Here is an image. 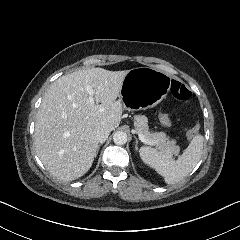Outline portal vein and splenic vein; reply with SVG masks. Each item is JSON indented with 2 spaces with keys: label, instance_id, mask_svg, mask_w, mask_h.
I'll return each mask as SVG.
<instances>
[{
  "label": "portal vein and splenic vein",
  "instance_id": "portal-vein-and-splenic-vein-1",
  "mask_svg": "<svg viewBox=\"0 0 240 240\" xmlns=\"http://www.w3.org/2000/svg\"><path fill=\"white\" fill-rule=\"evenodd\" d=\"M85 90H86V91L88 92V94H89V100H90V102H94V98H93V96H94V90H93L92 86H90V85L86 86ZM132 131L135 133V130H132ZM138 137H139V140H140L141 142H143L144 144L150 145V141L145 138V135H144V134L138 133Z\"/></svg>",
  "mask_w": 240,
  "mask_h": 240
}]
</instances>
